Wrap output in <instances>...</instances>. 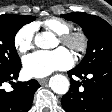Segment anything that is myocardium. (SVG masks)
I'll use <instances>...</instances> for the list:
<instances>
[{
	"instance_id": "myocardium-1",
	"label": "myocardium",
	"mask_w": 112,
	"mask_h": 112,
	"mask_svg": "<svg viewBox=\"0 0 112 112\" xmlns=\"http://www.w3.org/2000/svg\"><path fill=\"white\" fill-rule=\"evenodd\" d=\"M60 43L75 54L83 53L88 46L87 35L82 31L68 32L59 37Z\"/></svg>"
}]
</instances>
